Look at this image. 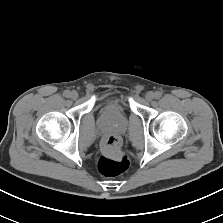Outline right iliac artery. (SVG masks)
Segmentation results:
<instances>
[{
	"label": "right iliac artery",
	"instance_id": "obj_1",
	"mask_svg": "<svg viewBox=\"0 0 223 223\" xmlns=\"http://www.w3.org/2000/svg\"><path fill=\"white\" fill-rule=\"evenodd\" d=\"M70 94H71V92L68 90L64 91V93H63L64 97H66V98L70 97Z\"/></svg>",
	"mask_w": 223,
	"mask_h": 223
}]
</instances>
